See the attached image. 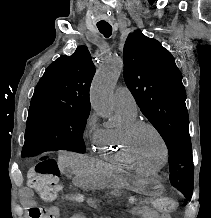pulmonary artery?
I'll return each mask as SVG.
<instances>
[{"instance_id": "1", "label": "pulmonary artery", "mask_w": 211, "mask_h": 218, "mask_svg": "<svg viewBox=\"0 0 211 218\" xmlns=\"http://www.w3.org/2000/svg\"><path fill=\"white\" fill-rule=\"evenodd\" d=\"M114 105L132 113H137V103L131 91L125 87H118L114 94Z\"/></svg>"}]
</instances>
